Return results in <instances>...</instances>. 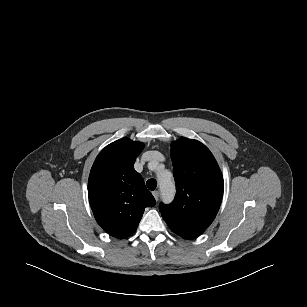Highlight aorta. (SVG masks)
Instances as JSON below:
<instances>
[{
    "label": "aorta",
    "mask_w": 307,
    "mask_h": 307,
    "mask_svg": "<svg viewBox=\"0 0 307 307\" xmlns=\"http://www.w3.org/2000/svg\"><path fill=\"white\" fill-rule=\"evenodd\" d=\"M159 186L162 198L165 202H171L175 195V184L170 172H161L158 174Z\"/></svg>",
    "instance_id": "obj_1"
}]
</instances>
